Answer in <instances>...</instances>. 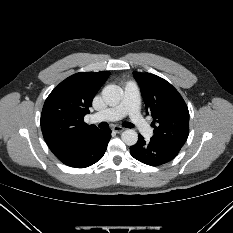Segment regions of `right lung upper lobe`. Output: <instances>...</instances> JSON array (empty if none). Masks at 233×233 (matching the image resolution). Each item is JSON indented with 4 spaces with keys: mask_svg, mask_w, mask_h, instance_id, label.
Returning a JSON list of instances; mask_svg holds the SVG:
<instances>
[{
    "mask_svg": "<svg viewBox=\"0 0 233 233\" xmlns=\"http://www.w3.org/2000/svg\"><path fill=\"white\" fill-rule=\"evenodd\" d=\"M110 72L76 73L53 89L41 114L43 137L55 156L75 146L82 138L98 130L88 126L84 116Z\"/></svg>",
    "mask_w": 233,
    "mask_h": 233,
    "instance_id": "obj_1",
    "label": "right lung upper lobe"
}]
</instances>
